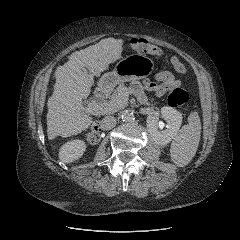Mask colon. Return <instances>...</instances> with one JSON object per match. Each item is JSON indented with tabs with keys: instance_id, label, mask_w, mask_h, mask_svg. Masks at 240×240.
I'll list each match as a JSON object with an SVG mask.
<instances>
[{
	"instance_id": "5ec220e1",
	"label": "colon",
	"mask_w": 240,
	"mask_h": 240,
	"mask_svg": "<svg viewBox=\"0 0 240 240\" xmlns=\"http://www.w3.org/2000/svg\"><path fill=\"white\" fill-rule=\"evenodd\" d=\"M132 50L140 53L163 56V51L157 45L143 38H133L129 41ZM188 100V93L182 88H175L168 96V104L172 107L184 105ZM98 129H93L88 135V141L93 143L98 137Z\"/></svg>"
}]
</instances>
